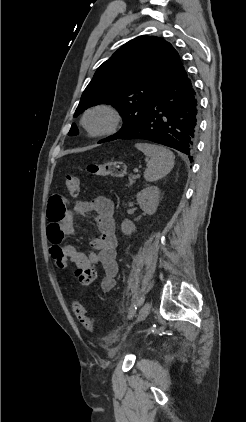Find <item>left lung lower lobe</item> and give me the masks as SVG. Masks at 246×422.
I'll use <instances>...</instances> for the list:
<instances>
[{
	"mask_svg": "<svg viewBox=\"0 0 246 422\" xmlns=\"http://www.w3.org/2000/svg\"><path fill=\"white\" fill-rule=\"evenodd\" d=\"M198 121L197 94L181 63L178 70L156 93L138 124L109 141L150 140L184 153L192 162L198 134Z\"/></svg>",
	"mask_w": 246,
	"mask_h": 422,
	"instance_id": "0a47b994",
	"label": "left lung lower lobe"
}]
</instances>
